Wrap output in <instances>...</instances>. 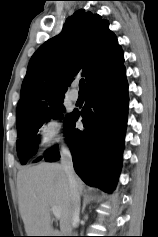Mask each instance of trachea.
Segmentation results:
<instances>
[{
    "instance_id": "trachea-1",
    "label": "trachea",
    "mask_w": 158,
    "mask_h": 237,
    "mask_svg": "<svg viewBox=\"0 0 158 237\" xmlns=\"http://www.w3.org/2000/svg\"><path fill=\"white\" fill-rule=\"evenodd\" d=\"M79 87H80V92H83L84 91L83 89L85 87V80H80Z\"/></svg>"
}]
</instances>
